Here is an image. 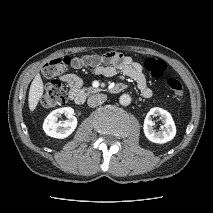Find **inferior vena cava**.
I'll list each match as a JSON object with an SVG mask.
<instances>
[{
    "label": "inferior vena cava",
    "mask_w": 213,
    "mask_h": 213,
    "mask_svg": "<svg viewBox=\"0 0 213 213\" xmlns=\"http://www.w3.org/2000/svg\"><path fill=\"white\" fill-rule=\"evenodd\" d=\"M107 100V95L105 94H96L92 95L88 98L87 103L89 107H96L98 105L103 104Z\"/></svg>",
    "instance_id": "obj_1"
}]
</instances>
